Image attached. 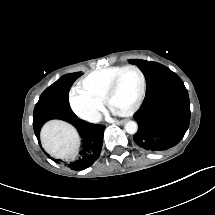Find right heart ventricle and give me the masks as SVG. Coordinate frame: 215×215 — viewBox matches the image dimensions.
Masks as SVG:
<instances>
[{
  "label": "right heart ventricle",
  "instance_id": "1",
  "mask_svg": "<svg viewBox=\"0 0 215 215\" xmlns=\"http://www.w3.org/2000/svg\"><path fill=\"white\" fill-rule=\"evenodd\" d=\"M118 67L119 66L107 64L87 74L80 82L82 93L92 98L104 96L115 78L116 69Z\"/></svg>",
  "mask_w": 215,
  "mask_h": 215
}]
</instances>
